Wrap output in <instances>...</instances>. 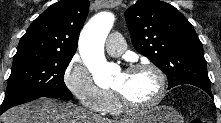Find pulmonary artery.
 I'll list each match as a JSON object with an SVG mask.
<instances>
[{"mask_svg":"<svg viewBox=\"0 0 221 123\" xmlns=\"http://www.w3.org/2000/svg\"><path fill=\"white\" fill-rule=\"evenodd\" d=\"M105 48L108 54L112 56L121 55L126 48L122 35L117 32L110 34L106 40Z\"/></svg>","mask_w":221,"mask_h":123,"instance_id":"1","label":"pulmonary artery"}]
</instances>
